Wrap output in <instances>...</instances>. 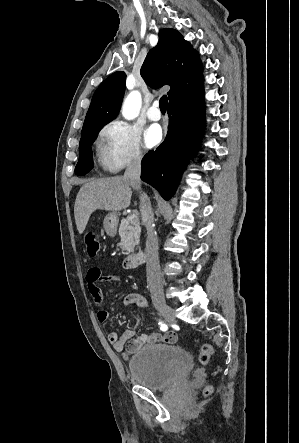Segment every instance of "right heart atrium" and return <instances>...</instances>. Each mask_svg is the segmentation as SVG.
Returning <instances> with one entry per match:
<instances>
[{
    "label": "right heart atrium",
    "mask_w": 299,
    "mask_h": 443,
    "mask_svg": "<svg viewBox=\"0 0 299 443\" xmlns=\"http://www.w3.org/2000/svg\"><path fill=\"white\" fill-rule=\"evenodd\" d=\"M104 165L111 171L139 165L144 152L137 129L121 120L106 124L99 133Z\"/></svg>",
    "instance_id": "right-heart-atrium-1"
}]
</instances>
